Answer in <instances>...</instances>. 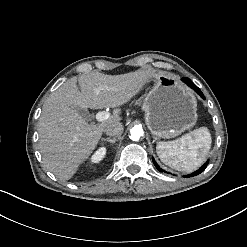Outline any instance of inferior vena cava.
<instances>
[{"label":"inferior vena cava","mask_w":247,"mask_h":247,"mask_svg":"<svg viewBox=\"0 0 247 247\" xmlns=\"http://www.w3.org/2000/svg\"><path fill=\"white\" fill-rule=\"evenodd\" d=\"M124 127L120 122H114L105 127L104 131L108 136H120L123 133Z\"/></svg>","instance_id":"inferior-vena-cava-1"}]
</instances>
